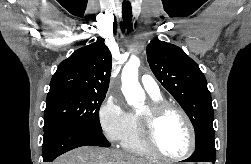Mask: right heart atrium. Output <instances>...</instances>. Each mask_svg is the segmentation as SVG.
<instances>
[{
    "instance_id": "d8ad5b80",
    "label": "right heart atrium",
    "mask_w": 251,
    "mask_h": 164,
    "mask_svg": "<svg viewBox=\"0 0 251 164\" xmlns=\"http://www.w3.org/2000/svg\"><path fill=\"white\" fill-rule=\"evenodd\" d=\"M98 120L104 136L112 143L122 142L131 125V113L117 98L110 96L100 106Z\"/></svg>"
}]
</instances>
